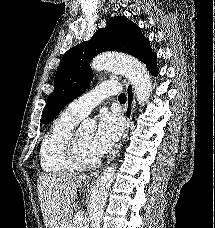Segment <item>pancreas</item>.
<instances>
[{
    "mask_svg": "<svg viewBox=\"0 0 215 228\" xmlns=\"http://www.w3.org/2000/svg\"><path fill=\"white\" fill-rule=\"evenodd\" d=\"M72 228H79V222H73V224H71Z\"/></svg>",
    "mask_w": 215,
    "mask_h": 228,
    "instance_id": "cf45deb5",
    "label": "pancreas"
}]
</instances>
